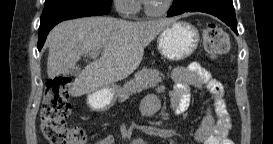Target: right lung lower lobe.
Wrapping results in <instances>:
<instances>
[{
    "mask_svg": "<svg viewBox=\"0 0 273 144\" xmlns=\"http://www.w3.org/2000/svg\"><path fill=\"white\" fill-rule=\"evenodd\" d=\"M111 9V0H57L44 7L38 31V50L44 45L49 31L63 20L104 15Z\"/></svg>",
    "mask_w": 273,
    "mask_h": 144,
    "instance_id": "98d812e1",
    "label": "right lung lower lobe"
}]
</instances>
